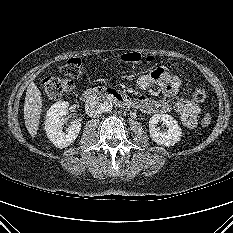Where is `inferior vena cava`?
I'll use <instances>...</instances> for the list:
<instances>
[{
  "label": "inferior vena cava",
  "mask_w": 233,
  "mask_h": 233,
  "mask_svg": "<svg viewBox=\"0 0 233 233\" xmlns=\"http://www.w3.org/2000/svg\"><path fill=\"white\" fill-rule=\"evenodd\" d=\"M85 110L87 115L97 118L103 113V103L98 101H89L85 105Z\"/></svg>",
  "instance_id": "obj_1"
}]
</instances>
